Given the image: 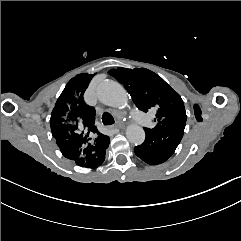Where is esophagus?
Segmentation results:
<instances>
[{"label":"esophagus","mask_w":241,"mask_h":241,"mask_svg":"<svg viewBox=\"0 0 241 241\" xmlns=\"http://www.w3.org/2000/svg\"><path fill=\"white\" fill-rule=\"evenodd\" d=\"M123 126H124L123 123H119L114 125V128L118 129V128H122Z\"/></svg>","instance_id":"obj_1"}]
</instances>
